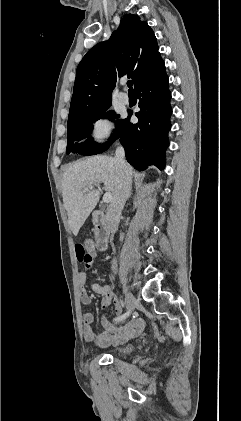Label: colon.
<instances>
[{"instance_id":"colon-1","label":"colon","mask_w":241,"mask_h":421,"mask_svg":"<svg viewBox=\"0 0 241 421\" xmlns=\"http://www.w3.org/2000/svg\"><path fill=\"white\" fill-rule=\"evenodd\" d=\"M75 253L78 261L84 263L86 266H91L94 258V244L92 241L84 243H77L75 245Z\"/></svg>"}]
</instances>
